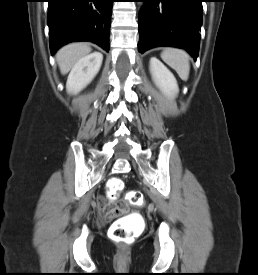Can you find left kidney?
Listing matches in <instances>:
<instances>
[{
    "instance_id": "left-kidney-1",
    "label": "left kidney",
    "mask_w": 258,
    "mask_h": 275,
    "mask_svg": "<svg viewBox=\"0 0 258 275\" xmlns=\"http://www.w3.org/2000/svg\"><path fill=\"white\" fill-rule=\"evenodd\" d=\"M150 72L156 85L169 97L175 96L178 84L170 70L156 57L150 59Z\"/></svg>"
}]
</instances>
